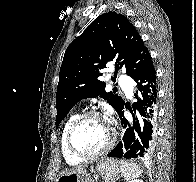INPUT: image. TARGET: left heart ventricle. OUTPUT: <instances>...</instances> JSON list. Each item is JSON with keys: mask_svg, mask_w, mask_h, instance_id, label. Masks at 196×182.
Listing matches in <instances>:
<instances>
[{"mask_svg": "<svg viewBox=\"0 0 196 182\" xmlns=\"http://www.w3.org/2000/svg\"><path fill=\"white\" fill-rule=\"evenodd\" d=\"M108 136L107 123L103 119L91 117L77 127L73 136V144L79 151L91 154L105 146Z\"/></svg>", "mask_w": 196, "mask_h": 182, "instance_id": "1", "label": "left heart ventricle"}]
</instances>
